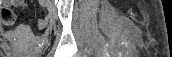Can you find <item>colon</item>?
Returning a JSON list of instances; mask_svg holds the SVG:
<instances>
[{"label": "colon", "instance_id": "1", "mask_svg": "<svg viewBox=\"0 0 172 57\" xmlns=\"http://www.w3.org/2000/svg\"><path fill=\"white\" fill-rule=\"evenodd\" d=\"M0 20L4 24L11 26L15 23L16 16H15L13 10L10 9L9 7H2V8H0ZM36 27L38 29H44L46 27V21L44 19H38L36 21Z\"/></svg>", "mask_w": 172, "mask_h": 57}]
</instances>
